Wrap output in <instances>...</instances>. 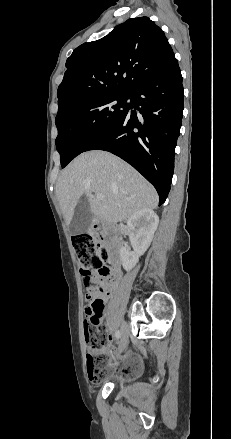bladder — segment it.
I'll list each match as a JSON object with an SVG mask.
<instances>
[{
	"label": "bladder",
	"instance_id": "31cf9c89",
	"mask_svg": "<svg viewBox=\"0 0 231 439\" xmlns=\"http://www.w3.org/2000/svg\"><path fill=\"white\" fill-rule=\"evenodd\" d=\"M143 363L140 357L133 356L129 358L128 364L124 370V376L126 378H136L142 374Z\"/></svg>",
	"mask_w": 231,
	"mask_h": 439
}]
</instances>
